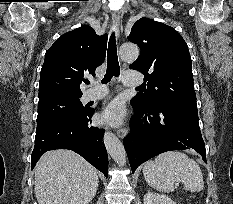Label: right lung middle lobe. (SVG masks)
Listing matches in <instances>:
<instances>
[{"label":"right lung middle lobe","instance_id":"dd1d6c3e","mask_svg":"<svg viewBox=\"0 0 233 204\" xmlns=\"http://www.w3.org/2000/svg\"><path fill=\"white\" fill-rule=\"evenodd\" d=\"M81 96H62L38 103L37 129L40 132L64 120H72L86 112Z\"/></svg>","mask_w":233,"mask_h":204}]
</instances>
